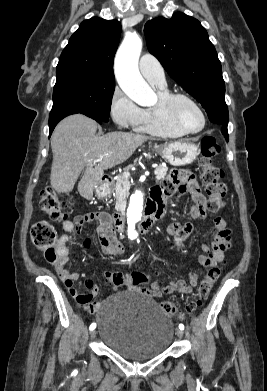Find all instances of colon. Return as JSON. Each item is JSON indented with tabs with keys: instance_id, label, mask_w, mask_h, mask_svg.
<instances>
[{
	"instance_id": "1",
	"label": "colon",
	"mask_w": 267,
	"mask_h": 391,
	"mask_svg": "<svg viewBox=\"0 0 267 391\" xmlns=\"http://www.w3.org/2000/svg\"><path fill=\"white\" fill-rule=\"evenodd\" d=\"M220 147L212 137H205L201 143L200 168L202 180L209 197L207 209L211 213H217L224 206L226 186L222 182L224 172L214 163V158L219 154ZM70 203L65 198L58 195L52 188H46L41 194L40 209L43 214L50 219L62 222L66 219ZM31 238L34 245L44 252L45 259L49 263H55L57 253L55 243L57 234L53 226L47 221L35 223L31 230ZM221 274V267L215 265L211 267L201 281L197 292V298L188 305V313L197 311L203 301L209 295L212 287ZM113 282L115 284H130L139 290H145L148 276L145 273L135 271L127 275L125 279L121 273H114ZM163 311L170 317L178 315V309L173 302L162 303Z\"/></svg>"
}]
</instances>
